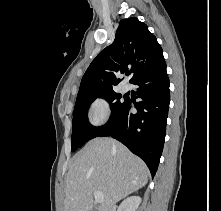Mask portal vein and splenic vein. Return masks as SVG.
<instances>
[{"label":"portal vein and splenic vein","instance_id":"18ae733b","mask_svg":"<svg viewBox=\"0 0 221 211\" xmlns=\"http://www.w3.org/2000/svg\"><path fill=\"white\" fill-rule=\"evenodd\" d=\"M94 198L97 203H102L104 201L103 193L100 191L94 192Z\"/></svg>","mask_w":221,"mask_h":211}]
</instances>
